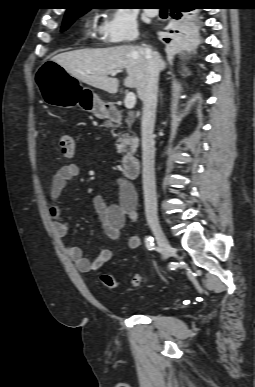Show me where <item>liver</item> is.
Segmentation results:
<instances>
[{
    "label": "liver",
    "mask_w": 255,
    "mask_h": 387,
    "mask_svg": "<svg viewBox=\"0 0 255 387\" xmlns=\"http://www.w3.org/2000/svg\"><path fill=\"white\" fill-rule=\"evenodd\" d=\"M158 72L166 64L157 52H152ZM52 61L63 67L66 72L92 87L110 94L118 91L119 81L109 77L112 72L126 69L124 85L127 88H142L145 80V48L134 45H121L98 49H80L57 54Z\"/></svg>",
    "instance_id": "6515ba94"
}]
</instances>
